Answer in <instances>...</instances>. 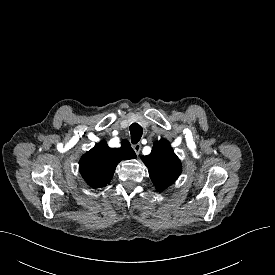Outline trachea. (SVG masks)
<instances>
[{
  "instance_id": "1",
  "label": "trachea",
  "mask_w": 275,
  "mask_h": 275,
  "mask_svg": "<svg viewBox=\"0 0 275 275\" xmlns=\"http://www.w3.org/2000/svg\"><path fill=\"white\" fill-rule=\"evenodd\" d=\"M143 129L138 123H133L130 126L131 142L137 144L142 137Z\"/></svg>"
}]
</instances>
